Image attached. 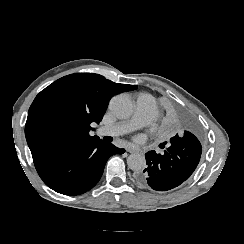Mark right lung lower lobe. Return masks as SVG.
<instances>
[{
    "instance_id": "obj_1",
    "label": "right lung lower lobe",
    "mask_w": 244,
    "mask_h": 244,
    "mask_svg": "<svg viewBox=\"0 0 244 244\" xmlns=\"http://www.w3.org/2000/svg\"><path fill=\"white\" fill-rule=\"evenodd\" d=\"M96 137L80 143L56 144L31 150L36 170L54 191L78 195L100 180L110 156L124 153Z\"/></svg>"
}]
</instances>
